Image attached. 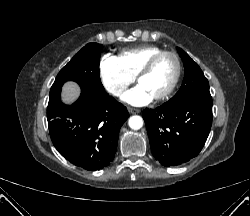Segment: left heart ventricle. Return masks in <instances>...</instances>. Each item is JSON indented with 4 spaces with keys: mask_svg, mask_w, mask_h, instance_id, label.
<instances>
[{
    "mask_svg": "<svg viewBox=\"0 0 250 216\" xmlns=\"http://www.w3.org/2000/svg\"><path fill=\"white\" fill-rule=\"evenodd\" d=\"M176 72V64L171 56L161 57L153 69L139 81L153 96L163 93L171 84Z\"/></svg>",
    "mask_w": 250,
    "mask_h": 216,
    "instance_id": "1",
    "label": "left heart ventricle"
}]
</instances>
